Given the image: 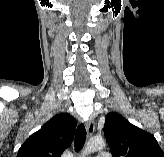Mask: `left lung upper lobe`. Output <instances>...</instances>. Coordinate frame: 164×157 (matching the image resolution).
Instances as JSON below:
<instances>
[{"instance_id":"left-lung-upper-lobe-1","label":"left lung upper lobe","mask_w":164,"mask_h":157,"mask_svg":"<svg viewBox=\"0 0 164 157\" xmlns=\"http://www.w3.org/2000/svg\"><path fill=\"white\" fill-rule=\"evenodd\" d=\"M104 134L113 157H164L155 137L117 113L105 119Z\"/></svg>"}]
</instances>
